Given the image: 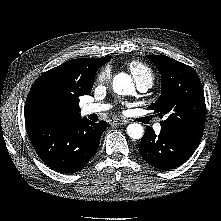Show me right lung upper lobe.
Listing matches in <instances>:
<instances>
[{
  "mask_svg": "<svg viewBox=\"0 0 221 221\" xmlns=\"http://www.w3.org/2000/svg\"><path fill=\"white\" fill-rule=\"evenodd\" d=\"M110 59V56L73 59L43 73L33 84L27 96L26 123H53L70 117H80L79 97L91 92L95 73ZM44 87L56 90L61 95V101L50 110L35 111L29 97Z\"/></svg>",
  "mask_w": 221,
  "mask_h": 221,
  "instance_id": "cb5924a9",
  "label": "right lung upper lobe"
}]
</instances>
